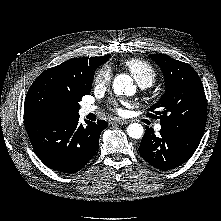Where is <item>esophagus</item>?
<instances>
[{
	"instance_id": "1",
	"label": "esophagus",
	"mask_w": 221,
	"mask_h": 221,
	"mask_svg": "<svg viewBox=\"0 0 221 221\" xmlns=\"http://www.w3.org/2000/svg\"><path fill=\"white\" fill-rule=\"evenodd\" d=\"M127 121L126 120H122V119H114L111 124H114V125H124L126 124Z\"/></svg>"
}]
</instances>
